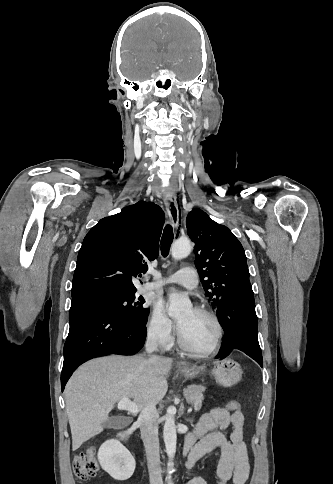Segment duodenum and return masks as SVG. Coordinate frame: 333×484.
<instances>
[{"mask_svg":"<svg viewBox=\"0 0 333 484\" xmlns=\"http://www.w3.org/2000/svg\"><path fill=\"white\" fill-rule=\"evenodd\" d=\"M130 434H131L130 430H128V429L123 430L118 434V439L120 441L126 442L129 438ZM191 450H192L191 444L186 442L185 445H184V452L183 453H184V456H186L188 458V460H189L190 455H191Z\"/></svg>","mask_w":333,"mask_h":484,"instance_id":"410a0bca","label":"duodenum"}]
</instances>
